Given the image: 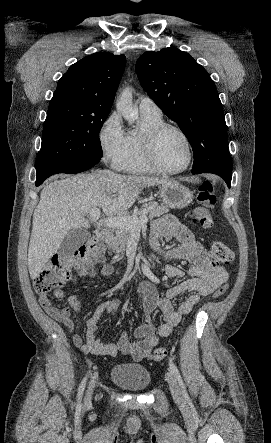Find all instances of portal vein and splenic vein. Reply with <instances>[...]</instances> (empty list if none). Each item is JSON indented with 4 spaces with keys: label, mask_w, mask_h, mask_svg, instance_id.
I'll return each mask as SVG.
<instances>
[{
    "label": "portal vein and splenic vein",
    "mask_w": 271,
    "mask_h": 443,
    "mask_svg": "<svg viewBox=\"0 0 271 443\" xmlns=\"http://www.w3.org/2000/svg\"><path fill=\"white\" fill-rule=\"evenodd\" d=\"M89 216L93 222H97L101 216L99 208L95 210H90ZM148 218L143 216V218H136V216H121V218H106V220H100L101 225L105 227H121V229H140L142 225H146Z\"/></svg>",
    "instance_id": "1"
}]
</instances>
